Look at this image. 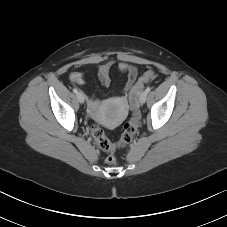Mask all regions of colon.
Instances as JSON below:
<instances>
[{
	"label": "colon",
	"instance_id": "colon-1",
	"mask_svg": "<svg viewBox=\"0 0 227 227\" xmlns=\"http://www.w3.org/2000/svg\"><path fill=\"white\" fill-rule=\"evenodd\" d=\"M155 78V73L153 71L145 72L137 81V83L133 86L129 93V100L132 106V117L131 119L126 122L123 126V131L120 137L118 144H113L110 140L106 137L103 129L98 125H93L91 128V133L93 138L95 139L98 146L108 152V156L106 157V162L108 164H116L117 159L114 154L117 147H124L127 146L133 139L138 123H139V112L136 106V97L139 91L144 87V85Z\"/></svg>",
	"mask_w": 227,
	"mask_h": 227
}]
</instances>
